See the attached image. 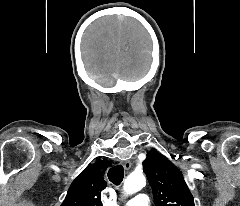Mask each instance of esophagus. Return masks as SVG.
<instances>
[{
  "label": "esophagus",
  "instance_id": "obj_1",
  "mask_svg": "<svg viewBox=\"0 0 240 206\" xmlns=\"http://www.w3.org/2000/svg\"><path fill=\"white\" fill-rule=\"evenodd\" d=\"M122 164H123V166L126 170H129L131 168V162L130 161H124V162H122Z\"/></svg>",
  "mask_w": 240,
  "mask_h": 206
}]
</instances>
